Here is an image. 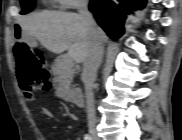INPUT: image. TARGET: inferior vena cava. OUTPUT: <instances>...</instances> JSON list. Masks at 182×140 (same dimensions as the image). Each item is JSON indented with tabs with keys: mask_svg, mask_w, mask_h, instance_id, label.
<instances>
[{
	"mask_svg": "<svg viewBox=\"0 0 182 140\" xmlns=\"http://www.w3.org/2000/svg\"><path fill=\"white\" fill-rule=\"evenodd\" d=\"M78 11L90 36V49L86 59L83 61V71L81 77L85 86L89 131L93 135L96 123L93 86L96 80L97 70L103 57V45L96 35L95 22L90 11L88 10V2H81Z\"/></svg>",
	"mask_w": 182,
	"mask_h": 140,
	"instance_id": "602c4592",
	"label": "inferior vena cava"
}]
</instances>
